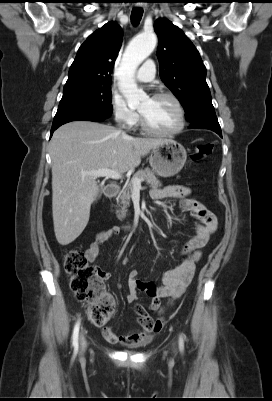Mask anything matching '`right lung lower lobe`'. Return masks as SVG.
<instances>
[{
    "label": "right lung lower lobe",
    "instance_id": "98d812e1",
    "mask_svg": "<svg viewBox=\"0 0 272 401\" xmlns=\"http://www.w3.org/2000/svg\"><path fill=\"white\" fill-rule=\"evenodd\" d=\"M104 119H106V118H99V117L87 116V115H85V116L73 117V118L67 119V120H65V121H62V122H59V123H56V124H52L50 137L52 136L53 132H54L58 127H60L61 125L65 124V123H68V122H71V121H77V120H79V121H94V122H100V121H103Z\"/></svg>",
    "mask_w": 272,
    "mask_h": 401
}]
</instances>
